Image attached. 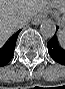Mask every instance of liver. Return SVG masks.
Here are the masks:
<instances>
[{"mask_svg": "<svg viewBox=\"0 0 65 89\" xmlns=\"http://www.w3.org/2000/svg\"><path fill=\"white\" fill-rule=\"evenodd\" d=\"M55 2L46 0H0V41L8 40L19 28L18 20H29L40 10L54 7Z\"/></svg>", "mask_w": 65, "mask_h": 89, "instance_id": "1", "label": "liver"}]
</instances>
